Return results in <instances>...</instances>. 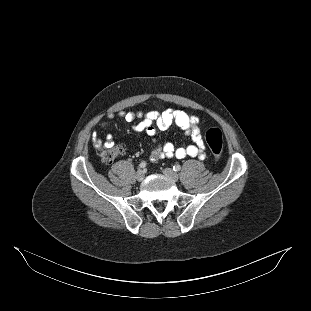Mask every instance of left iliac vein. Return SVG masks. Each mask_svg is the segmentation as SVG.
I'll return each instance as SVG.
<instances>
[{
    "label": "left iliac vein",
    "mask_w": 311,
    "mask_h": 311,
    "mask_svg": "<svg viewBox=\"0 0 311 311\" xmlns=\"http://www.w3.org/2000/svg\"><path fill=\"white\" fill-rule=\"evenodd\" d=\"M163 174L170 178L173 182H177L179 179L178 174L170 168H165L163 170Z\"/></svg>",
    "instance_id": "1"
}]
</instances>
